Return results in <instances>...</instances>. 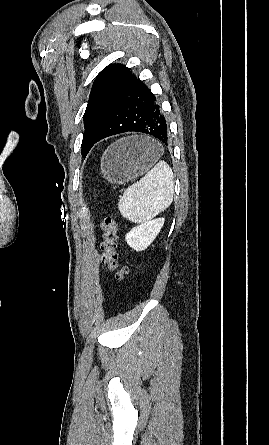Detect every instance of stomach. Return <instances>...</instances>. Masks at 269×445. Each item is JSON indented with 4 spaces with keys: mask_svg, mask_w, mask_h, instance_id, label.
<instances>
[{
    "mask_svg": "<svg viewBox=\"0 0 269 445\" xmlns=\"http://www.w3.org/2000/svg\"><path fill=\"white\" fill-rule=\"evenodd\" d=\"M158 143L137 136L112 144L101 159L103 177L113 184H123L146 172L158 160Z\"/></svg>",
    "mask_w": 269,
    "mask_h": 445,
    "instance_id": "obj_1",
    "label": "stomach"
}]
</instances>
